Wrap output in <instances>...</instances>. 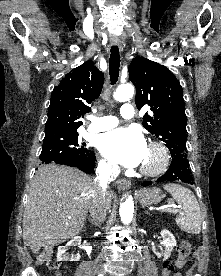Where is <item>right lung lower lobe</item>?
<instances>
[{
  "label": "right lung lower lobe",
  "mask_w": 221,
  "mask_h": 276,
  "mask_svg": "<svg viewBox=\"0 0 221 276\" xmlns=\"http://www.w3.org/2000/svg\"><path fill=\"white\" fill-rule=\"evenodd\" d=\"M49 163H57V164L68 165L71 167H77L80 170L84 171L85 173H91L93 172L95 167V154L94 156L88 159H66V160L54 161Z\"/></svg>",
  "instance_id": "1"
}]
</instances>
